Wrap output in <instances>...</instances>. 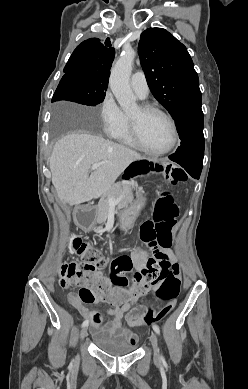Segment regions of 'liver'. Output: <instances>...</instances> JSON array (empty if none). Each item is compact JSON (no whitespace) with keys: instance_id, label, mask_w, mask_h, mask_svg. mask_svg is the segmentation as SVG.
Masks as SVG:
<instances>
[{"instance_id":"1","label":"liver","mask_w":248,"mask_h":389,"mask_svg":"<svg viewBox=\"0 0 248 389\" xmlns=\"http://www.w3.org/2000/svg\"><path fill=\"white\" fill-rule=\"evenodd\" d=\"M145 159L136 151L89 134L72 133L54 145L49 164L58 198L79 205L99 198L134 161ZM95 163L101 165L89 174Z\"/></svg>"}]
</instances>
